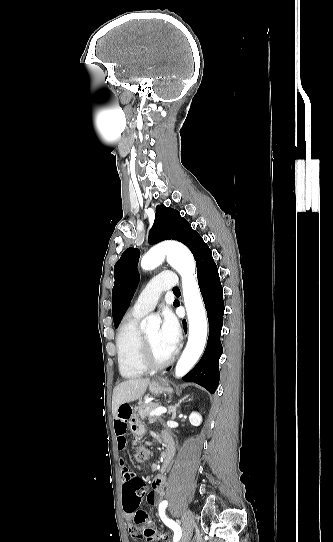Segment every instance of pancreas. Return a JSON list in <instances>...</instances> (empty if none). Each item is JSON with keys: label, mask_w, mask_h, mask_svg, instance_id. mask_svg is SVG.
Instances as JSON below:
<instances>
[{"label": "pancreas", "mask_w": 333, "mask_h": 542, "mask_svg": "<svg viewBox=\"0 0 333 542\" xmlns=\"http://www.w3.org/2000/svg\"><path fill=\"white\" fill-rule=\"evenodd\" d=\"M160 404L156 402H149V404H139L135 410L134 418L137 420H151V422H156L160 420L161 416H149L150 412L159 408Z\"/></svg>", "instance_id": "obj_1"}]
</instances>
